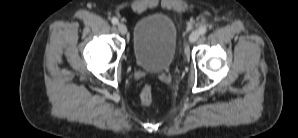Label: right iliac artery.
I'll return each instance as SVG.
<instances>
[{"instance_id":"obj_1","label":"right iliac artery","mask_w":298,"mask_h":138,"mask_svg":"<svg viewBox=\"0 0 298 138\" xmlns=\"http://www.w3.org/2000/svg\"><path fill=\"white\" fill-rule=\"evenodd\" d=\"M111 22H112V24L116 25V24H118V19L117 18H112Z\"/></svg>"}]
</instances>
